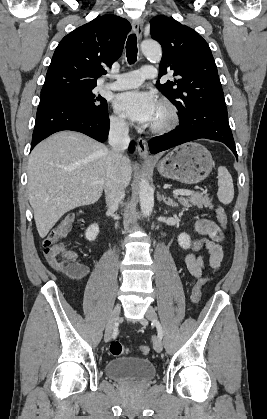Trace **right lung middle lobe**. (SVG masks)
Segmentation results:
<instances>
[{"label": "right lung middle lobe", "instance_id": "right-lung-middle-lobe-1", "mask_svg": "<svg viewBox=\"0 0 267 419\" xmlns=\"http://www.w3.org/2000/svg\"><path fill=\"white\" fill-rule=\"evenodd\" d=\"M94 88L67 86L41 96L55 97L75 104L87 113L101 114L107 110V101L100 95H95Z\"/></svg>", "mask_w": 267, "mask_h": 419}]
</instances>
